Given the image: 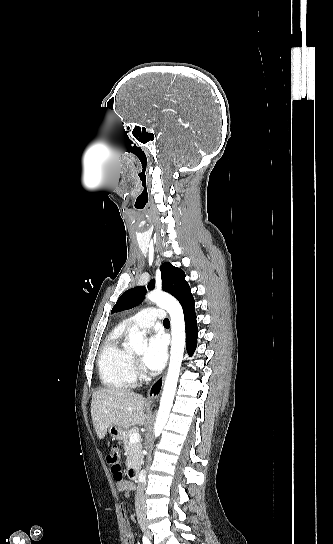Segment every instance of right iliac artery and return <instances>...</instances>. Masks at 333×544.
Segmentation results:
<instances>
[{"label": "right iliac artery", "mask_w": 333, "mask_h": 544, "mask_svg": "<svg viewBox=\"0 0 333 544\" xmlns=\"http://www.w3.org/2000/svg\"><path fill=\"white\" fill-rule=\"evenodd\" d=\"M143 544H151L147 537L143 536L142 538Z\"/></svg>", "instance_id": "1"}]
</instances>
